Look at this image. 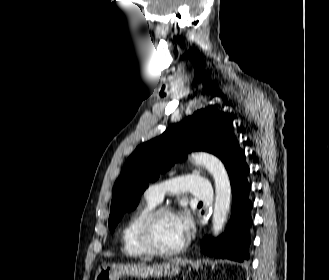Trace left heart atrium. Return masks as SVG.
I'll return each instance as SVG.
<instances>
[{
    "mask_svg": "<svg viewBox=\"0 0 329 280\" xmlns=\"http://www.w3.org/2000/svg\"><path fill=\"white\" fill-rule=\"evenodd\" d=\"M174 216L181 235L183 238H187L191 234L193 228V220L190 213L184 210Z\"/></svg>",
    "mask_w": 329,
    "mask_h": 280,
    "instance_id": "39dd6f15",
    "label": "left heart atrium"
}]
</instances>
